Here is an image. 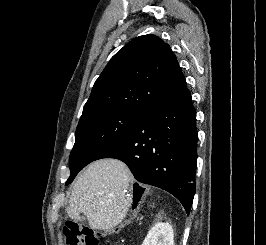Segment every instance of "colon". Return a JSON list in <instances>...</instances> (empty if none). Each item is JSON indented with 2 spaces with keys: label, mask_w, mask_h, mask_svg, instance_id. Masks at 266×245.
I'll list each match as a JSON object with an SVG mask.
<instances>
[{
  "label": "colon",
  "mask_w": 266,
  "mask_h": 245,
  "mask_svg": "<svg viewBox=\"0 0 266 245\" xmlns=\"http://www.w3.org/2000/svg\"><path fill=\"white\" fill-rule=\"evenodd\" d=\"M66 245H101L102 233H95L91 228L68 221L62 228Z\"/></svg>",
  "instance_id": "colon-1"
}]
</instances>
